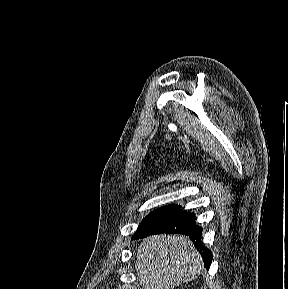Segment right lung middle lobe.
I'll return each mask as SVG.
<instances>
[{"instance_id": "obj_1", "label": "right lung middle lobe", "mask_w": 288, "mask_h": 289, "mask_svg": "<svg viewBox=\"0 0 288 289\" xmlns=\"http://www.w3.org/2000/svg\"><path fill=\"white\" fill-rule=\"evenodd\" d=\"M175 205L171 204V205H167L161 208H158L156 210H154L153 212H151L145 219L144 221L140 224L138 231L142 230L143 228H145L147 225H149L151 222H153L155 219L159 218L160 216H162L163 214H165L166 212H168L169 210H171ZM137 231V232H138Z\"/></svg>"}]
</instances>
